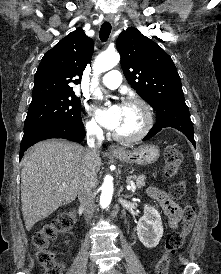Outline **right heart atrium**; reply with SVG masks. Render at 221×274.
<instances>
[{
  "mask_svg": "<svg viewBox=\"0 0 221 274\" xmlns=\"http://www.w3.org/2000/svg\"><path fill=\"white\" fill-rule=\"evenodd\" d=\"M85 128L87 133L92 136H99L102 134V129L99 123L94 118L87 120Z\"/></svg>",
  "mask_w": 221,
  "mask_h": 274,
  "instance_id": "right-heart-atrium-1",
  "label": "right heart atrium"
}]
</instances>
